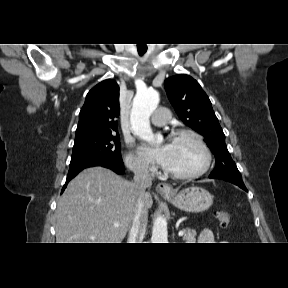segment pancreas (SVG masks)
Segmentation results:
<instances>
[{
	"label": "pancreas",
	"instance_id": "cf45deb5",
	"mask_svg": "<svg viewBox=\"0 0 288 288\" xmlns=\"http://www.w3.org/2000/svg\"><path fill=\"white\" fill-rule=\"evenodd\" d=\"M195 236H196V231L195 230L186 228L185 231H184L183 240L186 243H194L196 241Z\"/></svg>",
	"mask_w": 288,
	"mask_h": 288
}]
</instances>
